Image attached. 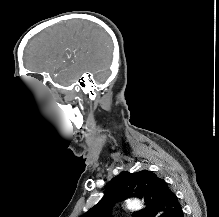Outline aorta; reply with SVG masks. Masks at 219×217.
Listing matches in <instances>:
<instances>
[{
	"label": "aorta",
	"instance_id": "aorta-1",
	"mask_svg": "<svg viewBox=\"0 0 219 217\" xmlns=\"http://www.w3.org/2000/svg\"><path fill=\"white\" fill-rule=\"evenodd\" d=\"M126 207L130 210H139L143 207V204L138 199H130V200H127Z\"/></svg>",
	"mask_w": 219,
	"mask_h": 217
}]
</instances>
